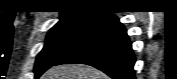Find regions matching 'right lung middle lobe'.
Listing matches in <instances>:
<instances>
[{
  "instance_id": "obj_1",
  "label": "right lung middle lobe",
  "mask_w": 177,
  "mask_h": 79,
  "mask_svg": "<svg viewBox=\"0 0 177 79\" xmlns=\"http://www.w3.org/2000/svg\"><path fill=\"white\" fill-rule=\"evenodd\" d=\"M102 21V17L57 23L48 33L46 43L35 62V78L55 65L81 43Z\"/></svg>"
}]
</instances>
